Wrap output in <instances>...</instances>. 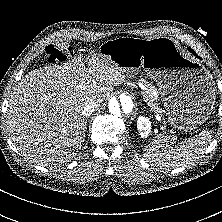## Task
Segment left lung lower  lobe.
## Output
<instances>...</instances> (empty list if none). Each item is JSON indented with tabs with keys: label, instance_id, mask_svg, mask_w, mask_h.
Segmentation results:
<instances>
[{
	"label": "left lung lower lobe",
	"instance_id": "obj_1",
	"mask_svg": "<svg viewBox=\"0 0 222 222\" xmlns=\"http://www.w3.org/2000/svg\"><path fill=\"white\" fill-rule=\"evenodd\" d=\"M189 50H190V52H192L194 55H196V53H195L192 49L189 48Z\"/></svg>",
	"mask_w": 222,
	"mask_h": 222
}]
</instances>
